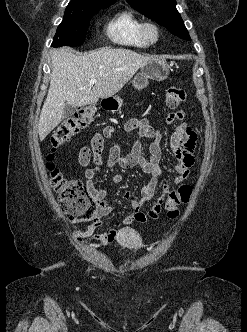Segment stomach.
<instances>
[{
    "mask_svg": "<svg viewBox=\"0 0 247 332\" xmlns=\"http://www.w3.org/2000/svg\"><path fill=\"white\" fill-rule=\"evenodd\" d=\"M169 75V65L165 59L155 58L150 60L147 64L141 67L140 72L133 78V87L137 90H142L148 85V79L163 81ZM104 108L116 110L121 107L122 99L120 97H111L106 101Z\"/></svg>",
    "mask_w": 247,
    "mask_h": 332,
    "instance_id": "stomach-1",
    "label": "stomach"
}]
</instances>
